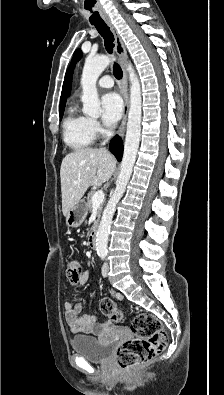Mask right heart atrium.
<instances>
[{"label":"right heart atrium","mask_w":224,"mask_h":395,"mask_svg":"<svg viewBox=\"0 0 224 395\" xmlns=\"http://www.w3.org/2000/svg\"><path fill=\"white\" fill-rule=\"evenodd\" d=\"M91 127L95 133L102 132V128L97 120L91 119Z\"/></svg>","instance_id":"right-heart-atrium-1"}]
</instances>
